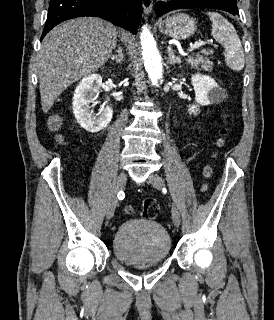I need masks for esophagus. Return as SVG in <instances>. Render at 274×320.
<instances>
[{
  "label": "esophagus",
  "instance_id": "esophagus-1",
  "mask_svg": "<svg viewBox=\"0 0 274 320\" xmlns=\"http://www.w3.org/2000/svg\"><path fill=\"white\" fill-rule=\"evenodd\" d=\"M145 15H149L153 9V0H141Z\"/></svg>",
  "mask_w": 274,
  "mask_h": 320
}]
</instances>
